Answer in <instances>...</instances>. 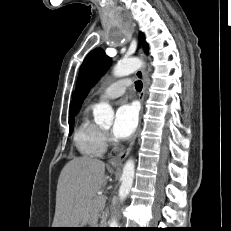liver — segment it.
Returning a JSON list of instances; mask_svg holds the SVG:
<instances>
[{"label": "liver", "mask_w": 231, "mask_h": 231, "mask_svg": "<svg viewBox=\"0 0 231 231\" xmlns=\"http://www.w3.org/2000/svg\"><path fill=\"white\" fill-rule=\"evenodd\" d=\"M106 182L103 161L88 156L69 161L58 179L53 228H78L87 223L93 216L94 197Z\"/></svg>", "instance_id": "liver-1"}]
</instances>
